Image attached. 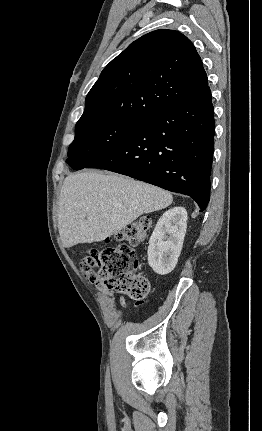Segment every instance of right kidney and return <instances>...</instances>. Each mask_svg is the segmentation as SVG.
Returning a JSON list of instances; mask_svg holds the SVG:
<instances>
[{
  "label": "right kidney",
  "instance_id": "ca27d5eb",
  "mask_svg": "<svg viewBox=\"0 0 262 431\" xmlns=\"http://www.w3.org/2000/svg\"><path fill=\"white\" fill-rule=\"evenodd\" d=\"M187 228V211L175 207L158 220L150 237L148 263L160 275L170 273L180 256Z\"/></svg>",
  "mask_w": 262,
  "mask_h": 431
}]
</instances>
